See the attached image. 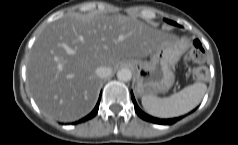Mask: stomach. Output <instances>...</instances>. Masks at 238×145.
Instances as JSON below:
<instances>
[{
  "label": "stomach",
  "mask_w": 238,
  "mask_h": 145,
  "mask_svg": "<svg viewBox=\"0 0 238 145\" xmlns=\"http://www.w3.org/2000/svg\"><path fill=\"white\" fill-rule=\"evenodd\" d=\"M180 57L176 42L163 43L151 55L150 61L135 71L136 92L140 96H152L167 92L174 84L173 72Z\"/></svg>",
  "instance_id": "obj_1"
}]
</instances>
